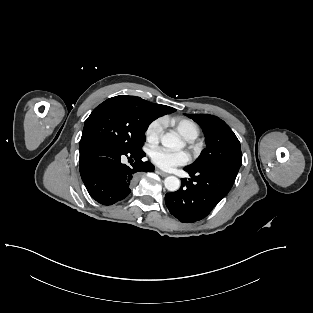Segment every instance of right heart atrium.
<instances>
[{
    "label": "right heart atrium",
    "instance_id": "right-heart-atrium-1",
    "mask_svg": "<svg viewBox=\"0 0 313 313\" xmlns=\"http://www.w3.org/2000/svg\"><path fill=\"white\" fill-rule=\"evenodd\" d=\"M163 126L164 122L162 119L152 121L145 131L146 140L151 144L157 143L160 139Z\"/></svg>",
    "mask_w": 313,
    "mask_h": 313
}]
</instances>
